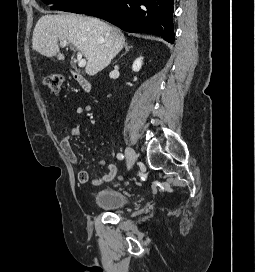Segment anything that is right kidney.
<instances>
[{"label": "right kidney", "instance_id": "ca27d5eb", "mask_svg": "<svg viewBox=\"0 0 255 272\" xmlns=\"http://www.w3.org/2000/svg\"><path fill=\"white\" fill-rule=\"evenodd\" d=\"M142 57L136 59L132 65V70L134 72H138L140 69H141V66H142Z\"/></svg>", "mask_w": 255, "mask_h": 272}]
</instances>
